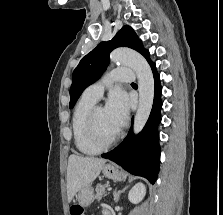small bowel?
Here are the masks:
<instances>
[{
	"label": "small bowel",
	"instance_id": "obj_1",
	"mask_svg": "<svg viewBox=\"0 0 223 215\" xmlns=\"http://www.w3.org/2000/svg\"><path fill=\"white\" fill-rule=\"evenodd\" d=\"M104 215H110L109 211L108 210H105L104 211Z\"/></svg>",
	"mask_w": 223,
	"mask_h": 215
}]
</instances>
